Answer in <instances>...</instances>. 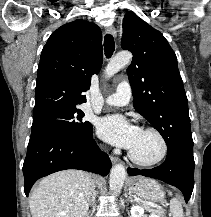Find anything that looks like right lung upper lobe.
Masks as SVG:
<instances>
[{
	"mask_svg": "<svg viewBox=\"0 0 211 217\" xmlns=\"http://www.w3.org/2000/svg\"><path fill=\"white\" fill-rule=\"evenodd\" d=\"M102 32L88 21L67 23L49 37L37 71L33 119L77 109L102 65Z\"/></svg>",
	"mask_w": 211,
	"mask_h": 217,
	"instance_id": "obj_1",
	"label": "right lung upper lobe"
}]
</instances>
